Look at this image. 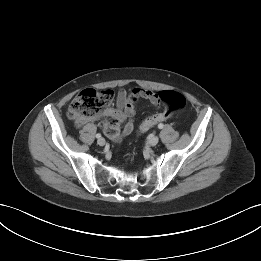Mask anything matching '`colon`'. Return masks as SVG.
I'll return each mask as SVG.
<instances>
[{"mask_svg": "<svg viewBox=\"0 0 261 261\" xmlns=\"http://www.w3.org/2000/svg\"><path fill=\"white\" fill-rule=\"evenodd\" d=\"M159 98L165 102L166 109L145 119L140 125L141 131L167 120L174 111L182 110L186 105L185 97L177 92H161ZM112 100L113 92L111 90L85 89L73 99L67 115L77 126H81L108 107ZM102 127L106 131V137L112 139L113 143L122 142L121 129L117 120L112 119L109 122H104Z\"/></svg>", "mask_w": 261, "mask_h": 261, "instance_id": "obj_1", "label": "colon"}]
</instances>
